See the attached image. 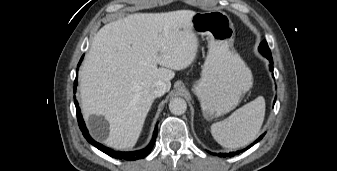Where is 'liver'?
<instances>
[{
	"label": "liver",
	"mask_w": 337,
	"mask_h": 171,
	"mask_svg": "<svg viewBox=\"0 0 337 171\" xmlns=\"http://www.w3.org/2000/svg\"><path fill=\"white\" fill-rule=\"evenodd\" d=\"M195 14L136 13L97 32L80 71V95L86 120L102 115L109 123L104 144L118 150L136 144L156 98L152 84L161 80L168 91L173 70L187 68L196 57Z\"/></svg>",
	"instance_id": "liver-1"
}]
</instances>
